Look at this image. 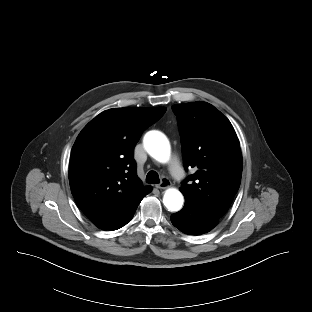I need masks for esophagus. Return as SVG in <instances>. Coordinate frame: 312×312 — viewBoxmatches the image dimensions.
Instances as JSON below:
<instances>
[{"instance_id": "esophagus-1", "label": "esophagus", "mask_w": 312, "mask_h": 312, "mask_svg": "<svg viewBox=\"0 0 312 312\" xmlns=\"http://www.w3.org/2000/svg\"><path fill=\"white\" fill-rule=\"evenodd\" d=\"M170 186H171L170 180L167 179V178H163L162 181L159 184L156 185V188H158V189H166V188H168Z\"/></svg>"}]
</instances>
